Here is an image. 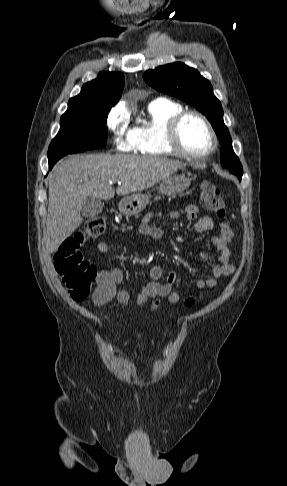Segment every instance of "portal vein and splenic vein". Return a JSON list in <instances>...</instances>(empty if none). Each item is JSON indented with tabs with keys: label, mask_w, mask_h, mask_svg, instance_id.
I'll return each mask as SVG.
<instances>
[{
	"label": "portal vein and splenic vein",
	"mask_w": 287,
	"mask_h": 486,
	"mask_svg": "<svg viewBox=\"0 0 287 486\" xmlns=\"http://www.w3.org/2000/svg\"><path fill=\"white\" fill-rule=\"evenodd\" d=\"M118 184H121V181H117Z\"/></svg>",
	"instance_id": "1"
}]
</instances>
